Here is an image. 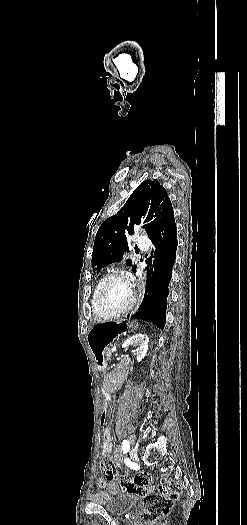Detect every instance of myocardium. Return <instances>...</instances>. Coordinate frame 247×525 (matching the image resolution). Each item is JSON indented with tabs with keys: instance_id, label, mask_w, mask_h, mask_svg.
I'll use <instances>...</instances> for the list:
<instances>
[{
	"instance_id": "myocardium-1",
	"label": "myocardium",
	"mask_w": 247,
	"mask_h": 525,
	"mask_svg": "<svg viewBox=\"0 0 247 525\" xmlns=\"http://www.w3.org/2000/svg\"><path fill=\"white\" fill-rule=\"evenodd\" d=\"M120 278V277H125V278H128L129 280H131V282L134 281V278L133 276L124 271V270H120V271H114L110 274H108L103 280H101L96 288H95V291H94V295L97 299H99V295H100V292L101 290L104 288V286L113 278ZM134 305V296H133V293L131 292L128 300L124 303V304H115L113 306H104V305H101L99 304L98 305V308L105 314L109 315V316H112V315H120L124 312H127L132 306Z\"/></svg>"
}]
</instances>
